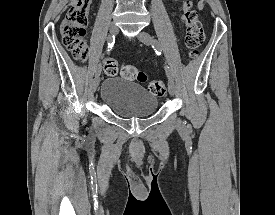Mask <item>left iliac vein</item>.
Wrapping results in <instances>:
<instances>
[{"label": "left iliac vein", "instance_id": "left-iliac-vein-1", "mask_svg": "<svg viewBox=\"0 0 275 215\" xmlns=\"http://www.w3.org/2000/svg\"><path fill=\"white\" fill-rule=\"evenodd\" d=\"M138 38L141 42H143L144 44L146 45H151L152 43V37L151 35L146 32V31H141L139 34H138ZM168 90H169V94L171 96H173L175 94V91H176V87H175V84L173 82L172 79H169V82H168Z\"/></svg>", "mask_w": 275, "mask_h": 215}]
</instances>
